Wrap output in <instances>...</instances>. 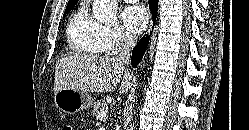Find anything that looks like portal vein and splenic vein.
I'll return each instance as SVG.
<instances>
[{"label": "portal vein and splenic vein", "mask_w": 249, "mask_h": 130, "mask_svg": "<svg viewBox=\"0 0 249 130\" xmlns=\"http://www.w3.org/2000/svg\"><path fill=\"white\" fill-rule=\"evenodd\" d=\"M98 119L100 121H105L106 120V113L102 112L101 114H99Z\"/></svg>", "instance_id": "1"}]
</instances>
